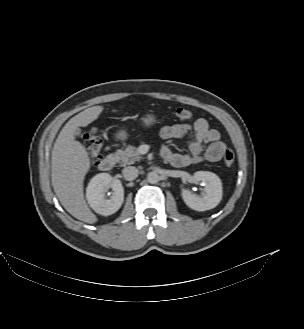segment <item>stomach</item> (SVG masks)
Segmentation results:
<instances>
[{
    "mask_svg": "<svg viewBox=\"0 0 304 329\" xmlns=\"http://www.w3.org/2000/svg\"><path fill=\"white\" fill-rule=\"evenodd\" d=\"M157 121V117L154 114H147L142 118V124L145 127H152L157 123ZM128 136V132L124 129H121L115 133V137L122 141L127 140Z\"/></svg>",
    "mask_w": 304,
    "mask_h": 329,
    "instance_id": "1",
    "label": "stomach"
}]
</instances>
